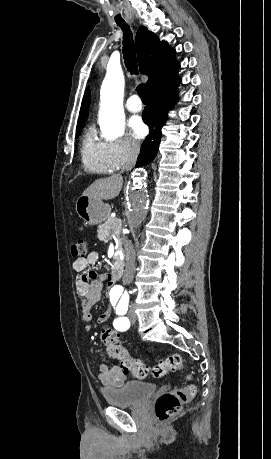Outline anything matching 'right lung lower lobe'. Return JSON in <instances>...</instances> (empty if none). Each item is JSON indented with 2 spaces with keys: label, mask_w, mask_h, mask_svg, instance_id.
Returning a JSON list of instances; mask_svg holds the SVG:
<instances>
[{
  "label": "right lung lower lobe",
  "mask_w": 271,
  "mask_h": 459,
  "mask_svg": "<svg viewBox=\"0 0 271 459\" xmlns=\"http://www.w3.org/2000/svg\"><path fill=\"white\" fill-rule=\"evenodd\" d=\"M180 81L177 72L148 90L149 105L143 112V119L150 128V134L141 146L136 167L147 165L155 158L161 139V129L167 120V112L177 102V87Z\"/></svg>",
  "instance_id": "obj_1"
}]
</instances>
